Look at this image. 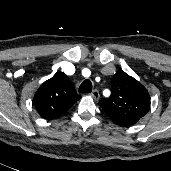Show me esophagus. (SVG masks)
Masks as SVG:
<instances>
[{
    "instance_id": "obj_1",
    "label": "esophagus",
    "mask_w": 171,
    "mask_h": 171,
    "mask_svg": "<svg viewBox=\"0 0 171 171\" xmlns=\"http://www.w3.org/2000/svg\"><path fill=\"white\" fill-rule=\"evenodd\" d=\"M90 95L95 99V100H98L99 99V97H100V95H99V92H98V90H93L91 93H90Z\"/></svg>"
}]
</instances>
